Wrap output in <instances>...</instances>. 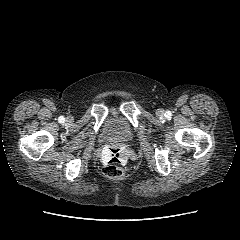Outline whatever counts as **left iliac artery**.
Here are the masks:
<instances>
[{"instance_id": "obj_1", "label": "left iliac artery", "mask_w": 240, "mask_h": 240, "mask_svg": "<svg viewBox=\"0 0 240 240\" xmlns=\"http://www.w3.org/2000/svg\"><path fill=\"white\" fill-rule=\"evenodd\" d=\"M171 115H172V114H171L170 111H167V112L165 113V116L168 117V118L171 117Z\"/></svg>"}]
</instances>
